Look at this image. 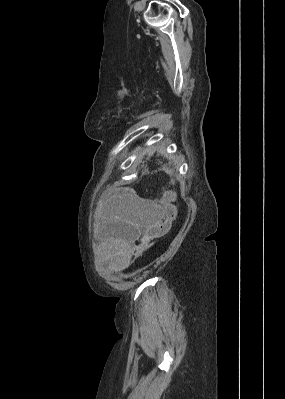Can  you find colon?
Returning <instances> with one entry per match:
<instances>
[{
	"instance_id": "5ec220e1",
	"label": "colon",
	"mask_w": 285,
	"mask_h": 399,
	"mask_svg": "<svg viewBox=\"0 0 285 399\" xmlns=\"http://www.w3.org/2000/svg\"><path fill=\"white\" fill-rule=\"evenodd\" d=\"M158 210L162 214L159 222L151 231L149 236L145 237L136 244V248L141 252L146 251L149 247H151L155 239L164 235L169 230L174 219L175 208L173 204L167 202L164 205L159 206Z\"/></svg>"
}]
</instances>
